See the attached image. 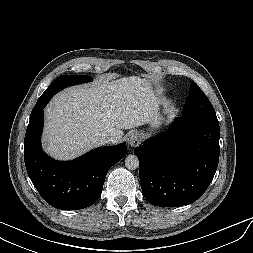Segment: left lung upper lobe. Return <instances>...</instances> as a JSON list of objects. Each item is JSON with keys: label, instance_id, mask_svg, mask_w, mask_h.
I'll list each match as a JSON object with an SVG mask.
<instances>
[{"label": "left lung upper lobe", "instance_id": "obj_1", "mask_svg": "<svg viewBox=\"0 0 253 253\" xmlns=\"http://www.w3.org/2000/svg\"><path fill=\"white\" fill-rule=\"evenodd\" d=\"M200 114L216 115L207 96L203 93L199 86L193 82L183 115L193 116Z\"/></svg>", "mask_w": 253, "mask_h": 253}]
</instances>
